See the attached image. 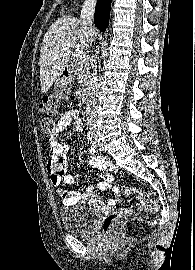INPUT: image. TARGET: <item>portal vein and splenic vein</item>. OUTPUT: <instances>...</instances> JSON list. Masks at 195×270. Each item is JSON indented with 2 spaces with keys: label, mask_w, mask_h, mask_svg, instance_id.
<instances>
[{
  "label": "portal vein and splenic vein",
  "mask_w": 195,
  "mask_h": 270,
  "mask_svg": "<svg viewBox=\"0 0 195 270\" xmlns=\"http://www.w3.org/2000/svg\"><path fill=\"white\" fill-rule=\"evenodd\" d=\"M74 57L79 60H83L86 57V53L83 50H76L74 53Z\"/></svg>",
  "instance_id": "portal-vein-and-splenic-vein-1"
}]
</instances>
